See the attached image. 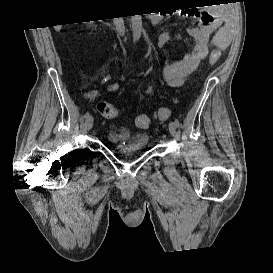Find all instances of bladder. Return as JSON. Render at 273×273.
Here are the masks:
<instances>
[{"mask_svg": "<svg viewBox=\"0 0 273 273\" xmlns=\"http://www.w3.org/2000/svg\"><path fill=\"white\" fill-rule=\"evenodd\" d=\"M106 139L110 147L121 156L136 154L149 144V136L145 132H131L128 128L111 130Z\"/></svg>", "mask_w": 273, "mask_h": 273, "instance_id": "obj_1", "label": "bladder"}]
</instances>
